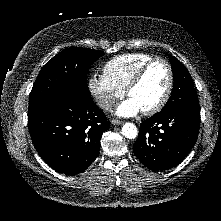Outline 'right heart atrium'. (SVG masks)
<instances>
[{
  "instance_id": "d8ad5b80",
  "label": "right heart atrium",
  "mask_w": 221,
  "mask_h": 221,
  "mask_svg": "<svg viewBox=\"0 0 221 221\" xmlns=\"http://www.w3.org/2000/svg\"><path fill=\"white\" fill-rule=\"evenodd\" d=\"M88 87L96 103L103 110H111L125 91L111 82L105 75L94 74L89 78Z\"/></svg>"
}]
</instances>
